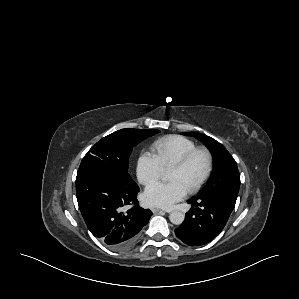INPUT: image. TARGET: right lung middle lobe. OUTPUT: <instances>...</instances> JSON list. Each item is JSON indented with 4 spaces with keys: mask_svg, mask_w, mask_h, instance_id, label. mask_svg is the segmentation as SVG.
I'll list each match as a JSON object with an SVG mask.
<instances>
[{
    "mask_svg": "<svg viewBox=\"0 0 299 299\" xmlns=\"http://www.w3.org/2000/svg\"><path fill=\"white\" fill-rule=\"evenodd\" d=\"M159 130L121 129L102 138L84 156L78 173L90 168L111 172L127 185H136L128 174V158L135 145Z\"/></svg>",
    "mask_w": 299,
    "mask_h": 299,
    "instance_id": "obj_1",
    "label": "right lung middle lobe"
}]
</instances>
